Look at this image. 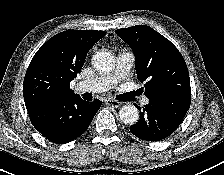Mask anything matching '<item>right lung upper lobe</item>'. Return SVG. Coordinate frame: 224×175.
Wrapping results in <instances>:
<instances>
[{"label": "right lung upper lobe", "mask_w": 224, "mask_h": 175, "mask_svg": "<svg viewBox=\"0 0 224 175\" xmlns=\"http://www.w3.org/2000/svg\"><path fill=\"white\" fill-rule=\"evenodd\" d=\"M106 32L67 30L50 38L36 52L27 69L23 96L25 104L44 98L72 96L70 82L81 71L90 48Z\"/></svg>", "instance_id": "1"}]
</instances>
